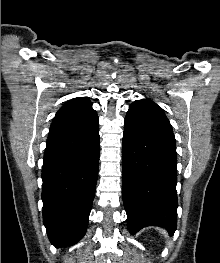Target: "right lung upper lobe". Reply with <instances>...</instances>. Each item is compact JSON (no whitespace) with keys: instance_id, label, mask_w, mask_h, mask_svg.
I'll return each instance as SVG.
<instances>
[{"instance_id":"1","label":"right lung upper lobe","mask_w":220,"mask_h":263,"mask_svg":"<svg viewBox=\"0 0 220 263\" xmlns=\"http://www.w3.org/2000/svg\"><path fill=\"white\" fill-rule=\"evenodd\" d=\"M99 126L92 103L82 97L65 103L56 113L49 135L76 138L90 134Z\"/></svg>"}]
</instances>
